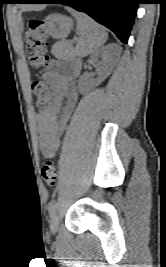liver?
I'll return each mask as SVG.
<instances>
[{
	"mask_svg": "<svg viewBox=\"0 0 166 267\" xmlns=\"http://www.w3.org/2000/svg\"><path fill=\"white\" fill-rule=\"evenodd\" d=\"M36 7L34 6H29V7H26L25 9H28V10H32V9H35Z\"/></svg>",
	"mask_w": 166,
	"mask_h": 267,
	"instance_id": "1",
	"label": "liver"
}]
</instances>
